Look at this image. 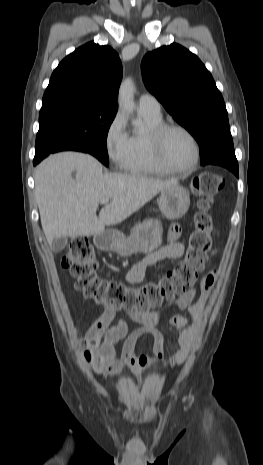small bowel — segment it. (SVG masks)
Returning a JSON list of instances; mask_svg holds the SVG:
<instances>
[{
  "label": "small bowel",
  "instance_id": "small-bowel-1",
  "mask_svg": "<svg viewBox=\"0 0 263 465\" xmlns=\"http://www.w3.org/2000/svg\"><path fill=\"white\" fill-rule=\"evenodd\" d=\"M181 236L182 228L178 224H172L168 231L167 243L135 264L127 272V281L130 283H140L144 279L148 267L165 259L180 258L185 250L184 244L180 241ZM215 253L216 251H213L212 256ZM214 282L215 273L213 271H206L199 284L201 295L196 302L193 301L197 288L193 286L184 294L169 301L159 309L145 313L126 311L127 318L121 319L112 328H109V326L116 315V309L105 307L91 330V333L98 336L105 334L103 343L98 344L94 348L95 372L113 380L125 370H129L138 379L145 372L162 362L164 337L158 329L162 312L167 308L186 309L195 323L199 324L204 317L205 307ZM175 316L177 315L172 316L170 319L172 325ZM130 322L136 323L137 327L130 330ZM194 333L195 326L181 332L178 338L179 349L173 353L170 361L165 364L179 365L184 362L190 352ZM144 335H149L153 339L154 358L146 355H137L135 352L138 340ZM122 339H124L122 354L120 358H117L114 345Z\"/></svg>",
  "mask_w": 263,
  "mask_h": 465
}]
</instances>
